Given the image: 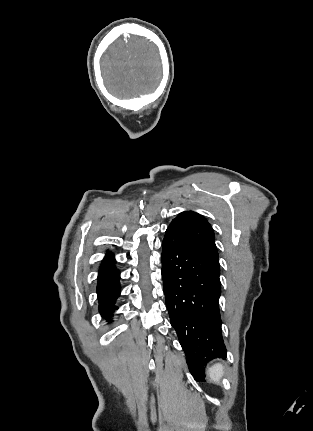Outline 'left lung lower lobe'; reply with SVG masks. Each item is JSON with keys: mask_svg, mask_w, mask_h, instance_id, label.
Masks as SVG:
<instances>
[{"mask_svg": "<svg viewBox=\"0 0 313 431\" xmlns=\"http://www.w3.org/2000/svg\"><path fill=\"white\" fill-rule=\"evenodd\" d=\"M162 277L170 322L186 354L194 379L204 382L209 361L226 357L218 300L219 261L166 230Z\"/></svg>", "mask_w": 313, "mask_h": 431, "instance_id": "obj_1", "label": "left lung lower lobe"}]
</instances>
